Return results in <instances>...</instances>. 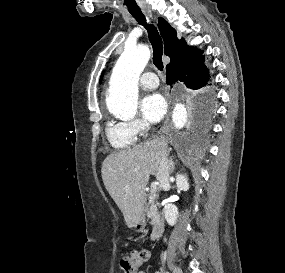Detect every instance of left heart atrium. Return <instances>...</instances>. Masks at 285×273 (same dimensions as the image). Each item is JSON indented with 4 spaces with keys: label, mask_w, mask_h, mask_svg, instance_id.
<instances>
[{
    "label": "left heart atrium",
    "mask_w": 285,
    "mask_h": 273,
    "mask_svg": "<svg viewBox=\"0 0 285 273\" xmlns=\"http://www.w3.org/2000/svg\"><path fill=\"white\" fill-rule=\"evenodd\" d=\"M166 102L164 98L153 93L144 97L140 103V111L143 117L150 122H158L166 113Z\"/></svg>",
    "instance_id": "left-heart-atrium-1"
}]
</instances>
